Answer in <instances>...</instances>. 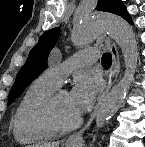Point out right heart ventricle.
Wrapping results in <instances>:
<instances>
[{
  "instance_id": "e07e8e85",
  "label": "right heart ventricle",
  "mask_w": 145,
  "mask_h": 147,
  "mask_svg": "<svg viewBox=\"0 0 145 147\" xmlns=\"http://www.w3.org/2000/svg\"><path fill=\"white\" fill-rule=\"evenodd\" d=\"M59 87L44 74L34 79L21 97L13 116L15 138L22 143H36L52 138L57 130L44 117L41 104Z\"/></svg>"
}]
</instances>
